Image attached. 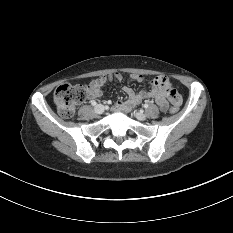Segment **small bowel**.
<instances>
[{
    "label": "small bowel",
    "mask_w": 233,
    "mask_h": 233,
    "mask_svg": "<svg viewBox=\"0 0 233 233\" xmlns=\"http://www.w3.org/2000/svg\"><path fill=\"white\" fill-rule=\"evenodd\" d=\"M130 79L135 82H142L144 77L141 74H132ZM109 80L122 81L123 76L119 73L112 74L110 76H101L89 83L88 98L92 102L95 99L102 96V87ZM169 80L164 76L156 77L152 82V89L150 91L135 92L132 88L125 86L123 92L126 94L127 99L125 101H117L114 109L124 112H130L137 105H139L144 99H154L156 104L162 111H166L169 107L168 99L173 103V100L177 98L175 91ZM181 103V97L179 95V104Z\"/></svg>",
    "instance_id": "small-bowel-1"
}]
</instances>
